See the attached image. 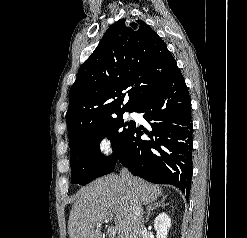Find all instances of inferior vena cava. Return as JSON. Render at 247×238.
Returning a JSON list of instances; mask_svg holds the SVG:
<instances>
[{
    "instance_id": "1",
    "label": "inferior vena cava",
    "mask_w": 247,
    "mask_h": 238,
    "mask_svg": "<svg viewBox=\"0 0 247 238\" xmlns=\"http://www.w3.org/2000/svg\"><path fill=\"white\" fill-rule=\"evenodd\" d=\"M121 177L131 185L132 177L127 168L121 170ZM131 224L130 238H140L141 232L144 229L143 209L140 201L134 195L131 197Z\"/></svg>"
}]
</instances>
